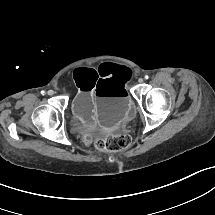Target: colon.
<instances>
[{"mask_svg": "<svg viewBox=\"0 0 215 215\" xmlns=\"http://www.w3.org/2000/svg\"><path fill=\"white\" fill-rule=\"evenodd\" d=\"M94 143L95 147L99 150L116 151L126 148L129 145V138L127 135L116 134L108 137L97 138Z\"/></svg>", "mask_w": 215, "mask_h": 215, "instance_id": "5ec220e1", "label": "colon"}]
</instances>
